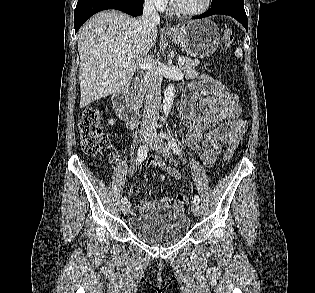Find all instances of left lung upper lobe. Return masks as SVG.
<instances>
[{
  "mask_svg": "<svg viewBox=\"0 0 315 293\" xmlns=\"http://www.w3.org/2000/svg\"><path fill=\"white\" fill-rule=\"evenodd\" d=\"M225 2H234V3L244 4V0H213L211 7H215Z\"/></svg>",
  "mask_w": 315,
  "mask_h": 293,
  "instance_id": "left-lung-upper-lobe-1",
  "label": "left lung upper lobe"
}]
</instances>
